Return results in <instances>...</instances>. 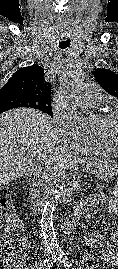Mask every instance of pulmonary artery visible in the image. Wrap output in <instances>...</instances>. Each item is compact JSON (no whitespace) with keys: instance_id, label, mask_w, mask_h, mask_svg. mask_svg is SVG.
I'll return each mask as SVG.
<instances>
[{"instance_id":"obj_1","label":"pulmonary artery","mask_w":118,"mask_h":269,"mask_svg":"<svg viewBox=\"0 0 118 269\" xmlns=\"http://www.w3.org/2000/svg\"><path fill=\"white\" fill-rule=\"evenodd\" d=\"M103 95L97 85L93 81L84 84L83 91L79 97V102L84 106H98L102 101Z\"/></svg>"}]
</instances>
